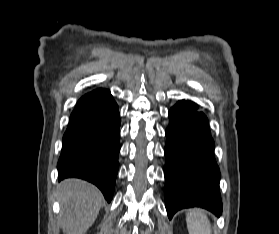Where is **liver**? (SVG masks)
<instances>
[{
  "mask_svg": "<svg viewBox=\"0 0 279 234\" xmlns=\"http://www.w3.org/2000/svg\"><path fill=\"white\" fill-rule=\"evenodd\" d=\"M60 227L65 234H84L95 222L104 204L101 192L79 179H66L59 185Z\"/></svg>",
  "mask_w": 279,
  "mask_h": 234,
  "instance_id": "6515ba94",
  "label": "liver"
}]
</instances>
